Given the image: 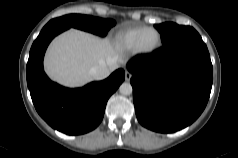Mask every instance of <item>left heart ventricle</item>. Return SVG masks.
Returning <instances> with one entry per match:
<instances>
[{
	"mask_svg": "<svg viewBox=\"0 0 238 158\" xmlns=\"http://www.w3.org/2000/svg\"><path fill=\"white\" fill-rule=\"evenodd\" d=\"M157 39V34L154 31H148L142 39V46L146 49L151 48L156 44Z\"/></svg>",
	"mask_w": 238,
	"mask_h": 158,
	"instance_id": "1",
	"label": "left heart ventricle"
}]
</instances>
